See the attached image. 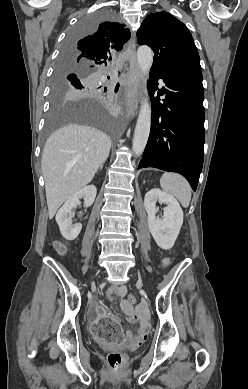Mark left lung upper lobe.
<instances>
[{"instance_id": "left-lung-upper-lobe-1", "label": "left lung upper lobe", "mask_w": 248, "mask_h": 389, "mask_svg": "<svg viewBox=\"0 0 248 389\" xmlns=\"http://www.w3.org/2000/svg\"><path fill=\"white\" fill-rule=\"evenodd\" d=\"M137 42L153 50L152 68L162 71L201 68L199 54L189 30L170 13L148 15L137 31Z\"/></svg>"}]
</instances>
